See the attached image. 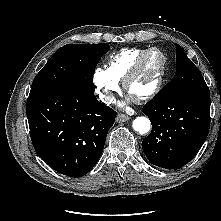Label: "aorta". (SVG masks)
<instances>
[{
  "mask_svg": "<svg viewBox=\"0 0 221 221\" xmlns=\"http://www.w3.org/2000/svg\"><path fill=\"white\" fill-rule=\"evenodd\" d=\"M151 127L150 120L146 117H137L133 121V128L135 131L139 132L140 134L148 133Z\"/></svg>",
  "mask_w": 221,
  "mask_h": 221,
  "instance_id": "1",
  "label": "aorta"
}]
</instances>
